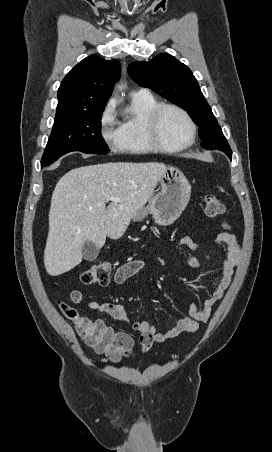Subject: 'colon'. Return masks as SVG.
I'll return each mask as SVG.
<instances>
[{"instance_id": "obj_1", "label": "colon", "mask_w": 272, "mask_h": 452, "mask_svg": "<svg viewBox=\"0 0 272 452\" xmlns=\"http://www.w3.org/2000/svg\"><path fill=\"white\" fill-rule=\"evenodd\" d=\"M204 213L208 218H217L225 212L224 203L214 194L207 193L203 199ZM113 265L108 260H99L89 266L82 272L80 280L84 284L105 286L110 281ZM59 307L62 311L70 312V306L65 302H60ZM99 347L107 353L112 361H117L123 355L119 350L117 343L110 337H106L99 344Z\"/></svg>"}]
</instances>
